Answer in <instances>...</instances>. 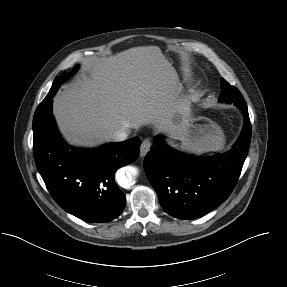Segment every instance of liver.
<instances>
[{"instance_id": "6515ba94", "label": "liver", "mask_w": 287, "mask_h": 287, "mask_svg": "<svg viewBox=\"0 0 287 287\" xmlns=\"http://www.w3.org/2000/svg\"><path fill=\"white\" fill-rule=\"evenodd\" d=\"M87 74L65 86L53 114L66 141L95 147L119 130L152 124L179 139L189 117L187 98L171 63L157 46L134 47L108 58L83 61Z\"/></svg>"}]
</instances>
